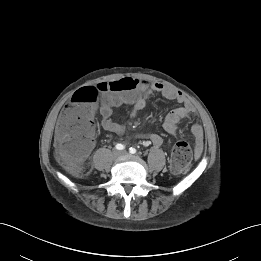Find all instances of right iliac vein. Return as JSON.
<instances>
[{"mask_svg":"<svg viewBox=\"0 0 261 261\" xmlns=\"http://www.w3.org/2000/svg\"><path fill=\"white\" fill-rule=\"evenodd\" d=\"M119 156H120V152L114 150L113 153H112V157H113L114 159H116V158H118Z\"/></svg>","mask_w":261,"mask_h":261,"instance_id":"63e3f726","label":"right iliac vein"}]
</instances>
